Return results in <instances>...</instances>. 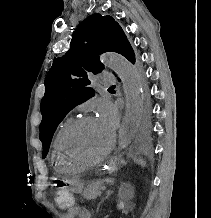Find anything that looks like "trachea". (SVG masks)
Masks as SVG:
<instances>
[{"label":"trachea","instance_id":"3493384b","mask_svg":"<svg viewBox=\"0 0 211 218\" xmlns=\"http://www.w3.org/2000/svg\"><path fill=\"white\" fill-rule=\"evenodd\" d=\"M111 88H115V85H113L112 87H110V89H111Z\"/></svg>","mask_w":211,"mask_h":218}]
</instances>
